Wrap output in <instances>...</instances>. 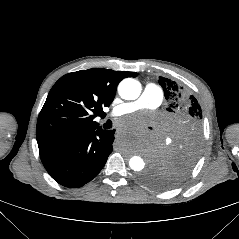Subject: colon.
Listing matches in <instances>:
<instances>
[{
    "label": "colon",
    "instance_id": "obj_1",
    "mask_svg": "<svg viewBox=\"0 0 239 239\" xmlns=\"http://www.w3.org/2000/svg\"><path fill=\"white\" fill-rule=\"evenodd\" d=\"M195 107H196V104H195L194 102H189V103H188V106H187L188 110H192V109H194Z\"/></svg>",
    "mask_w": 239,
    "mask_h": 239
}]
</instances>
